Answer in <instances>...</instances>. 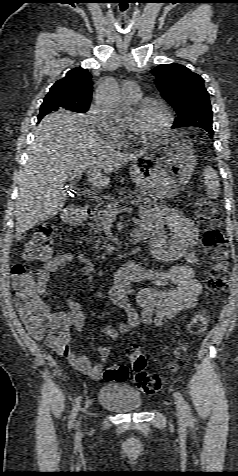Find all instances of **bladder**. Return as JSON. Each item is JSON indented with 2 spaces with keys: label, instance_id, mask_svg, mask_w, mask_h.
Instances as JSON below:
<instances>
[{
  "label": "bladder",
  "instance_id": "31cf9c89",
  "mask_svg": "<svg viewBox=\"0 0 238 476\" xmlns=\"http://www.w3.org/2000/svg\"><path fill=\"white\" fill-rule=\"evenodd\" d=\"M98 401L102 407L120 413L137 411L142 407L140 393L121 383L105 384L99 392Z\"/></svg>",
  "mask_w": 238,
  "mask_h": 476
}]
</instances>
